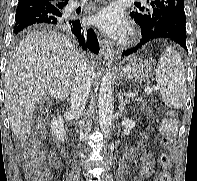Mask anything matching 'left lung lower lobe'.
<instances>
[{
	"mask_svg": "<svg viewBox=\"0 0 197 181\" xmlns=\"http://www.w3.org/2000/svg\"><path fill=\"white\" fill-rule=\"evenodd\" d=\"M186 17L184 11H174L160 17L153 29L146 34L142 31V38L138 45L123 51V56L135 53L145 43L157 38H167L182 46L186 51Z\"/></svg>",
	"mask_w": 197,
	"mask_h": 181,
	"instance_id": "obj_1",
	"label": "left lung lower lobe"
}]
</instances>
